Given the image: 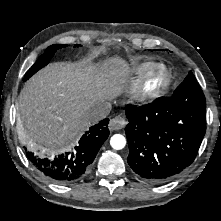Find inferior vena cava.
Here are the masks:
<instances>
[{
  "instance_id": "inferior-vena-cava-1",
  "label": "inferior vena cava",
  "mask_w": 221,
  "mask_h": 221,
  "mask_svg": "<svg viewBox=\"0 0 221 221\" xmlns=\"http://www.w3.org/2000/svg\"><path fill=\"white\" fill-rule=\"evenodd\" d=\"M111 110V104L107 101H96L92 104L86 117L90 122L100 121L108 116Z\"/></svg>"
}]
</instances>
